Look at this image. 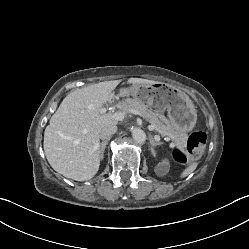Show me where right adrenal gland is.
I'll use <instances>...</instances> for the list:
<instances>
[{"label":"right adrenal gland","mask_w":249,"mask_h":249,"mask_svg":"<svg viewBox=\"0 0 249 249\" xmlns=\"http://www.w3.org/2000/svg\"><path fill=\"white\" fill-rule=\"evenodd\" d=\"M108 141H109V139H106V140H104V141H102V142L100 143L99 151H100V158H101V159H103L105 147H106Z\"/></svg>","instance_id":"2a0ac1e0"}]
</instances>
